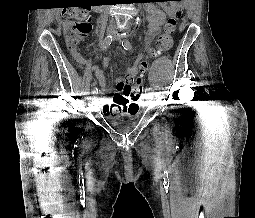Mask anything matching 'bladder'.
Listing matches in <instances>:
<instances>
[{
    "label": "bladder",
    "mask_w": 255,
    "mask_h": 218,
    "mask_svg": "<svg viewBox=\"0 0 255 218\" xmlns=\"http://www.w3.org/2000/svg\"><path fill=\"white\" fill-rule=\"evenodd\" d=\"M107 119L118 132H127L135 126L139 116L136 112H119L108 114Z\"/></svg>",
    "instance_id": "obj_1"
}]
</instances>
